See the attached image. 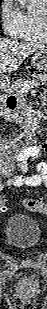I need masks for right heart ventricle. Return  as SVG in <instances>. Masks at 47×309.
<instances>
[{
	"label": "right heart ventricle",
	"mask_w": 47,
	"mask_h": 309,
	"mask_svg": "<svg viewBox=\"0 0 47 309\" xmlns=\"http://www.w3.org/2000/svg\"><path fill=\"white\" fill-rule=\"evenodd\" d=\"M40 1L44 4L46 0ZM42 13L43 11H31L23 14L22 30L18 36L20 41L32 45H40L46 41Z\"/></svg>",
	"instance_id": "e07e8e85"
}]
</instances>
